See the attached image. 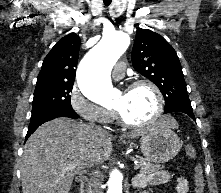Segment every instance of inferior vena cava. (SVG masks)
<instances>
[{"instance_id": "1", "label": "inferior vena cava", "mask_w": 221, "mask_h": 193, "mask_svg": "<svg viewBox=\"0 0 221 193\" xmlns=\"http://www.w3.org/2000/svg\"><path fill=\"white\" fill-rule=\"evenodd\" d=\"M91 127L94 128L93 125ZM95 129L105 132L104 130H102L99 127H96ZM93 165L94 164H91L90 167H92ZM91 185H92V193H102V190L100 188V179H99V175H98V170H94L92 172Z\"/></svg>"}]
</instances>
